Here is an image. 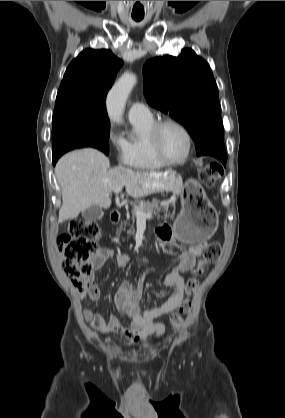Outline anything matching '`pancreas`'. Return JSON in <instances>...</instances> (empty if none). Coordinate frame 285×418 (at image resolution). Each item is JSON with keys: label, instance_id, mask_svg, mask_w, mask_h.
Returning <instances> with one entry per match:
<instances>
[{"label": "pancreas", "instance_id": "obj_1", "mask_svg": "<svg viewBox=\"0 0 285 418\" xmlns=\"http://www.w3.org/2000/svg\"><path fill=\"white\" fill-rule=\"evenodd\" d=\"M168 208H169V205L166 204L163 201L162 202L161 201H152V202L147 201L145 203H142L138 207V209L141 210V211H143L144 213H151L153 210L159 212L161 209H163L166 212V214H165L166 217L173 218L174 215H175V211H174L175 210V205L173 204V208L174 209H173L172 213H170L168 211ZM135 217H136V211L133 210L132 211V221H133V224H132L131 228L128 230V233H133L134 232V221H135ZM126 224H127V221L121 223L120 224V227H119V230L117 231V233H121L122 230H125V227L124 226Z\"/></svg>", "mask_w": 285, "mask_h": 418}]
</instances>
